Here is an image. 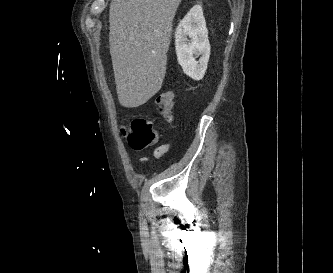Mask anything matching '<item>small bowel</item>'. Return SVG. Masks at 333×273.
<instances>
[{"label":"small bowel","instance_id":"c3829d8e","mask_svg":"<svg viewBox=\"0 0 333 273\" xmlns=\"http://www.w3.org/2000/svg\"><path fill=\"white\" fill-rule=\"evenodd\" d=\"M171 148V145L170 143H164V144H161L160 146H158L154 152H153V155L156 159H160L164 154H166ZM140 162H147L148 161V158L146 157H141L139 159Z\"/></svg>","mask_w":333,"mask_h":273}]
</instances>
